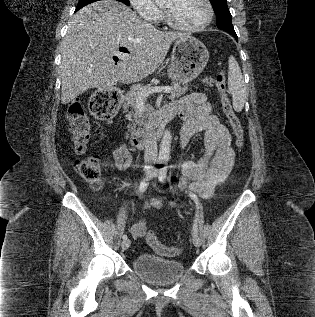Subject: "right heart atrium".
<instances>
[{
  "label": "right heart atrium",
  "mask_w": 315,
  "mask_h": 317,
  "mask_svg": "<svg viewBox=\"0 0 315 317\" xmlns=\"http://www.w3.org/2000/svg\"><path fill=\"white\" fill-rule=\"evenodd\" d=\"M133 9L145 20L150 22L158 21L161 12L152 0H129Z\"/></svg>",
  "instance_id": "d8ad5b80"
}]
</instances>
